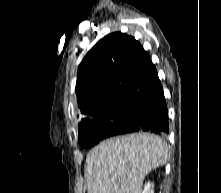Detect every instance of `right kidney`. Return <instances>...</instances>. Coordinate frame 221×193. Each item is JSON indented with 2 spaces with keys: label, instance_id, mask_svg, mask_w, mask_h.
I'll list each match as a JSON object with an SVG mask.
<instances>
[{
  "label": "right kidney",
  "instance_id": "ca27d5eb",
  "mask_svg": "<svg viewBox=\"0 0 221 193\" xmlns=\"http://www.w3.org/2000/svg\"><path fill=\"white\" fill-rule=\"evenodd\" d=\"M153 187H154L153 183L150 182L146 183L142 193H154Z\"/></svg>",
  "mask_w": 221,
  "mask_h": 193
}]
</instances>
